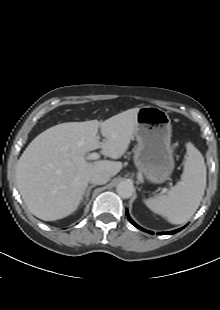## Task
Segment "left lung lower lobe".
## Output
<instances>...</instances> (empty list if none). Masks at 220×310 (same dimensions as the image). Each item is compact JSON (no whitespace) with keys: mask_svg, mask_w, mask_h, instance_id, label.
I'll return each mask as SVG.
<instances>
[{"mask_svg":"<svg viewBox=\"0 0 220 310\" xmlns=\"http://www.w3.org/2000/svg\"><path fill=\"white\" fill-rule=\"evenodd\" d=\"M126 215L128 216V220H129L135 227H137L138 229L143 230V231H145V232H148V233H150V234H153V232L147 231V230L141 228L140 226H138V225L129 217L128 211H126ZM182 229H183V228H180V229H177V230H174V231H170V232H162L161 234H175V233L179 232V231L182 230Z\"/></svg>","mask_w":220,"mask_h":310,"instance_id":"0a47b994","label":"left lung lower lobe"}]
</instances>
